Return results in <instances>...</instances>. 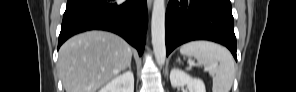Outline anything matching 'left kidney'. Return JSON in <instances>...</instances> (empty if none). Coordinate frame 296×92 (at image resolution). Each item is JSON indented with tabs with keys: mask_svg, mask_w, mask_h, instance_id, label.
Segmentation results:
<instances>
[{
	"mask_svg": "<svg viewBox=\"0 0 296 92\" xmlns=\"http://www.w3.org/2000/svg\"><path fill=\"white\" fill-rule=\"evenodd\" d=\"M170 81L172 87L187 86L189 92H206L205 85L201 79L193 78L178 68L171 70Z\"/></svg>",
	"mask_w": 296,
	"mask_h": 92,
	"instance_id": "1",
	"label": "left kidney"
}]
</instances>
